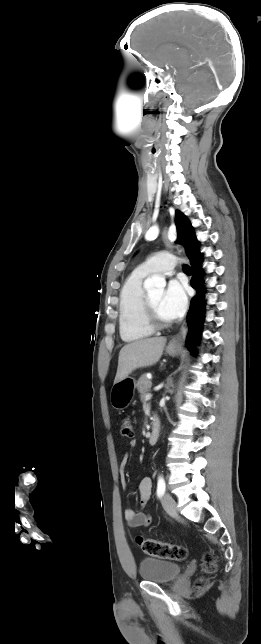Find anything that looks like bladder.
Instances as JSON below:
<instances>
[{
    "label": "bladder",
    "mask_w": 261,
    "mask_h": 644,
    "mask_svg": "<svg viewBox=\"0 0 261 644\" xmlns=\"http://www.w3.org/2000/svg\"><path fill=\"white\" fill-rule=\"evenodd\" d=\"M181 570L179 564L157 558H145L139 563V575L148 582H171L180 575Z\"/></svg>",
    "instance_id": "bladder-1"
}]
</instances>
